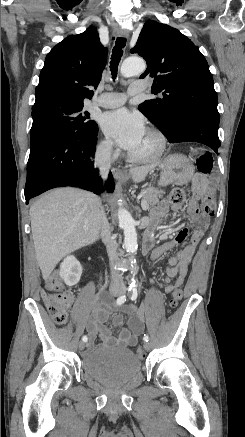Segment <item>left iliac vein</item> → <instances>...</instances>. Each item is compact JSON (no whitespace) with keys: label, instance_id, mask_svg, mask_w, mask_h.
Wrapping results in <instances>:
<instances>
[{"label":"left iliac vein","instance_id":"left-iliac-vein-1","mask_svg":"<svg viewBox=\"0 0 245 437\" xmlns=\"http://www.w3.org/2000/svg\"><path fill=\"white\" fill-rule=\"evenodd\" d=\"M124 292H125V291H124ZM144 348H145V350H149V349L151 348V344L148 343V342H145V343H144Z\"/></svg>","mask_w":245,"mask_h":437}]
</instances>
